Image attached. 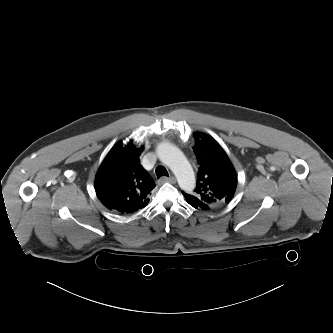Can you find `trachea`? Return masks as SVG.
I'll use <instances>...</instances> for the list:
<instances>
[{
  "label": "trachea",
  "instance_id": "obj_1",
  "mask_svg": "<svg viewBox=\"0 0 333 333\" xmlns=\"http://www.w3.org/2000/svg\"><path fill=\"white\" fill-rule=\"evenodd\" d=\"M155 172H156V175H157L158 178H160L161 176H167V177L169 176L168 171L166 170V168L164 166H161V165L157 166Z\"/></svg>",
  "mask_w": 333,
  "mask_h": 333
}]
</instances>
